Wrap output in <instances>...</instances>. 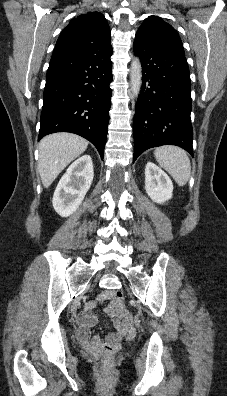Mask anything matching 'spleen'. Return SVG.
Segmentation results:
<instances>
[{
    "mask_svg": "<svg viewBox=\"0 0 227 396\" xmlns=\"http://www.w3.org/2000/svg\"><path fill=\"white\" fill-rule=\"evenodd\" d=\"M157 162L176 181L179 186H184L191 173V164L187 153L177 146H162L154 151Z\"/></svg>",
    "mask_w": 227,
    "mask_h": 396,
    "instance_id": "spleen-1",
    "label": "spleen"
}]
</instances>
